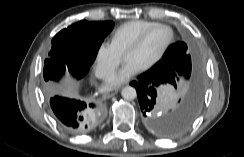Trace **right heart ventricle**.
Segmentation results:
<instances>
[{
    "instance_id": "1",
    "label": "right heart ventricle",
    "mask_w": 244,
    "mask_h": 157,
    "mask_svg": "<svg viewBox=\"0 0 244 157\" xmlns=\"http://www.w3.org/2000/svg\"><path fill=\"white\" fill-rule=\"evenodd\" d=\"M158 24L148 20H130L118 26L111 37L115 48L123 54L125 49L147 28Z\"/></svg>"
}]
</instances>
